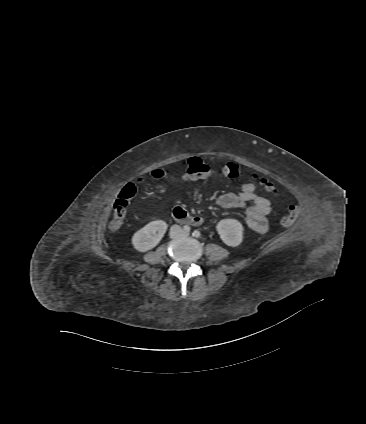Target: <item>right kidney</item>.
I'll return each instance as SVG.
<instances>
[{
    "label": "right kidney",
    "instance_id": "1",
    "mask_svg": "<svg viewBox=\"0 0 366 424\" xmlns=\"http://www.w3.org/2000/svg\"><path fill=\"white\" fill-rule=\"evenodd\" d=\"M166 230V222L152 221L133 235L132 244L140 252L151 250L161 241Z\"/></svg>",
    "mask_w": 366,
    "mask_h": 424
}]
</instances>
